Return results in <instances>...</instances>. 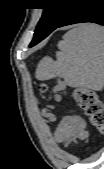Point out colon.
<instances>
[{
	"mask_svg": "<svg viewBox=\"0 0 104 169\" xmlns=\"http://www.w3.org/2000/svg\"><path fill=\"white\" fill-rule=\"evenodd\" d=\"M64 89V85L59 83L55 87L54 99L60 101V91ZM41 92L47 90V85L41 84L39 86ZM74 99L77 105L83 110L90 124L100 133L104 132V108L102 102L99 100L97 94L89 89L76 88L73 92Z\"/></svg>",
	"mask_w": 104,
	"mask_h": 169,
	"instance_id": "1",
	"label": "colon"
}]
</instances>
